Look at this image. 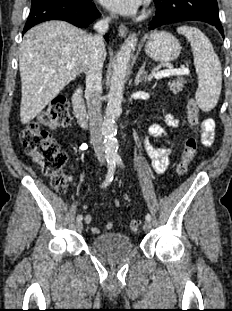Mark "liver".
<instances>
[{
  "label": "liver",
  "instance_id": "liver-1",
  "mask_svg": "<svg viewBox=\"0 0 232 311\" xmlns=\"http://www.w3.org/2000/svg\"><path fill=\"white\" fill-rule=\"evenodd\" d=\"M88 37L85 31L64 21L42 23L24 35L19 52L22 124L33 120L65 86L87 71ZM68 63L74 66L72 70L66 69Z\"/></svg>",
  "mask_w": 232,
  "mask_h": 311
}]
</instances>
